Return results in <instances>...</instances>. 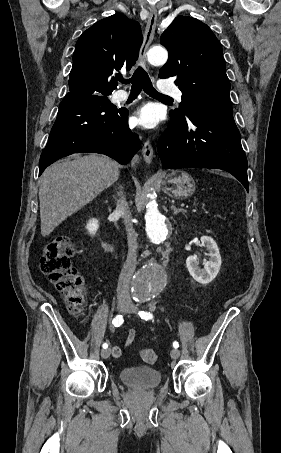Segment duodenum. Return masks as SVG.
I'll list each match as a JSON object with an SVG mask.
<instances>
[{"label": "duodenum", "instance_id": "410a0bca", "mask_svg": "<svg viewBox=\"0 0 281 453\" xmlns=\"http://www.w3.org/2000/svg\"><path fill=\"white\" fill-rule=\"evenodd\" d=\"M104 248L109 252H112V253L115 252V248L113 247V245H111L109 243H105Z\"/></svg>", "mask_w": 281, "mask_h": 453}]
</instances>
